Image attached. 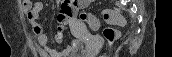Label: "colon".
Instances as JSON below:
<instances>
[{
    "label": "colon",
    "mask_w": 172,
    "mask_h": 57,
    "mask_svg": "<svg viewBox=\"0 0 172 57\" xmlns=\"http://www.w3.org/2000/svg\"><path fill=\"white\" fill-rule=\"evenodd\" d=\"M69 13L71 15H77L81 20L86 21L91 29H98L100 27V21L99 19L93 15V14H87L86 12L80 11V12H74L73 10H70ZM102 18L110 25H116V26H122L123 25V19L121 15L111 9H104L100 12ZM104 37L108 41L109 44H112L117 39V32L112 27H107L103 31ZM106 55H104L105 57Z\"/></svg>",
    "instance_id": "5ec220e1"
}]
</instances>
